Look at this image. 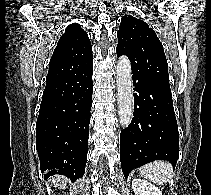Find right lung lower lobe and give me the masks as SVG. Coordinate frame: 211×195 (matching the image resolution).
Wrapping results in <instances>:
<instances>
[{
    "mask_svg": "<svg viewBox=\"0 0 211 195\" xmlns=\"http://www.w3.org/2000/svg\"><path fill=\"white\" fill-rule=\"evenodd\" d=\"M93 64L46 82L36 123V149L45 178H81L87 161Z\"/></svg>",
    "mask_w": 211,
    "mask_h": 195,
    "instance_id": "1",
    "label": "right lung lower lobe"
}]
</instances>
